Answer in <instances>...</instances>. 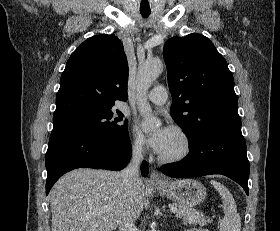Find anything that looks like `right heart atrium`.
<instances>
[{"label": "right heart atrium", "instance_id": "right-heart-atrium-1", "mask_svg": "<svg viewBox=\"0 0 280 231\" xmlns=\"http://www.w3.org/2000/svg\"><path fill=\"white\" fill-rule=\"evenodd\" d=\"M130 148L135 153H141L144 151L145 144L143 139L138 135L134 134L130 143Z\"/></svg>", "mask_w": 280, "mask_h": 231}]
</instances>
